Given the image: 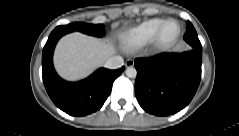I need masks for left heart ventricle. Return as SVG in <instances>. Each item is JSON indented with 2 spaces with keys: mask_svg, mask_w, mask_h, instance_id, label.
<instances>
[{
  "mask_svg": "<svg viewBox=\"0 0 239 136\" xmlns=\"http://www.w3.org/2000/svg\"><path fill=\"white\" fill-rule=\"evenodd\" d=\"M177 31H178V29H177L176 24L169 25L164 30V33H163V36H162L163 40L164 41H171V40H173L176 37V35H177Z\"/></svg>",
  "mask_w": 239,
  "mask_h": 136,
  "instance_id": "1",
  "label": "left heart ventricle"
}]
</instances>
